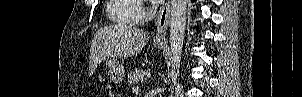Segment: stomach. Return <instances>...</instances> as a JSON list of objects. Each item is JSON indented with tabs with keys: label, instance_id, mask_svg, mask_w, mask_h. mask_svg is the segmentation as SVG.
<instances>
[{
	"label": "stomach",
	"instance_id": "0dacf381",
	"mask_svg": "<svg viewBox=\"0 0 302 97\" xmlns=\"http://www.w3.org/2000/svg\"><path fill=\"white\" fill-rule=\"evenodd\" d=\"M154 46L157 49H162L163 43H154ZM102 62L104 63V65H106L107 74L110 80L116 84L122 82L124 77L123 65L115 58H111V57H107L103 59Z\"/></svg>",
	"mask_w": 302,
	"mask_h": 97
}]
</instances>
